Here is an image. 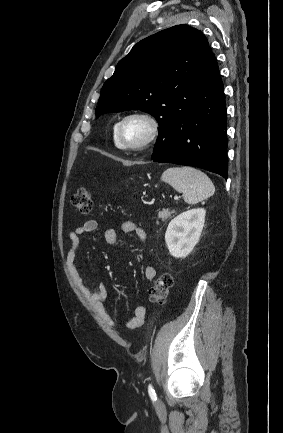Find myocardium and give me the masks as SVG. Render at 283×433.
Returning a JSON list of instances; mask_svg holds the SVG:
<instances>
[{
  "mask_svg": "<svg viewBox=\"0 0 283 433\" xmlns=\"http://www.w3.org/2000/svg\"><path fill=\"white\" fill-rule=\"evenodd\" d=\"M133 118H140L145 120L149 124V133L141 141L136 143H124L121 140V129L124 123ZM161 134V122L160 120L150 112L147 111H132L125 114L117 123L114 130V139L117 146L123 150L129 151H142L150 148L159 139Z\"/></svg>",
  "mask_w": 283,
  "mask_h": 433,
  "instance_id": "myocardium-1",
  "label": "myocardium"
}]
</instances>
